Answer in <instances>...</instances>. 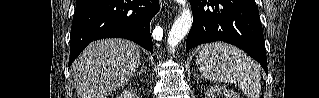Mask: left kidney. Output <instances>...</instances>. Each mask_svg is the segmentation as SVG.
I'll use <instances>...</instances> for the list:
<instances>
[{
    "label": "left kidney",
    "mask_w": 319,
    "mask_h": 98,
    "mask_svg": "<svg viewBox=\"0 0 319 98\" xmlns=\"http://www.w3.org/2000/svg\"><path fill=\"white\" fill-rule=\"evenodd\" d=\"M224 96V98H239L240 96L232 91L227 90L223 86H213L205 93V98H217Z\"/></svg>",
    "instance_id": "obj_1"
}]
</instances>
